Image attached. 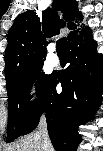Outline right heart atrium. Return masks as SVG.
I'll use <instances>...</instances> for the list:
<instances>
[{
  "mask_svg": "<svg viewBox=\"0 0 103 151\" xmlns=\"http://www.w3.org/2000/svg\"><path fill=\"white\" fill-rule=\"evenodd\" d=\"M28 100L30 103H34L37 100V87L35 83H32L28 88Z\"/></svg>",
  "mask_w": 103,
  "mask_h": 151,
  "instance_id": "1",
  "label": "right heart atrium"
}]
</instances>
